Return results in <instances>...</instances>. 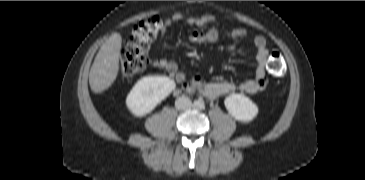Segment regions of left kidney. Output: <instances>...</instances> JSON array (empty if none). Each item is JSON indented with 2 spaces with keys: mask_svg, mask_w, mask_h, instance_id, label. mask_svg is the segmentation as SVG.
<instances>
[{
  "mask_svg": "<svg viewBox=\"0 0 365 180\" xmlns=\"http://www.w3.org/2000/svg\"><path fill=\"white\" fill-rule=\"evenodd\" d=\"M229 114L241 122H250L258 114V107L243 94H232L224 101Z\"/></svg>",
  "mask_w": 365,
  "mask_h": 180,
  "instance_id": "1",
  "label": "left kidney"
}]
</instances>
